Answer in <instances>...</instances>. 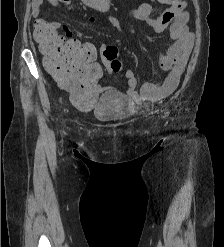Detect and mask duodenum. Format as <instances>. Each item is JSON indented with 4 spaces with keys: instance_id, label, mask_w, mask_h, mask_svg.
I'll use <instances>...</instances> for the list:
<instances>
[{
    "instance_id": "410a0bca",
    "label": "duodenum",
    "mask_w": 224,
    "mask_h": 247,
    "mask_svg": "<svg viewBox=\"0 0 224 247\" xmlns=\"http://www.w3.org/2000/svg\"><path fill=\"white\" fill-rule=\"evenodd\" d=\"M52 47H53V49H56V43H54Z\"/></svg>"
}]
</instances>
